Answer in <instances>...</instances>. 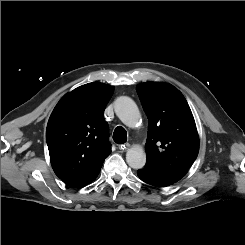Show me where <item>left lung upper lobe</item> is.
<instances>
[{"instance_id":"1","label":"left lung upper lobe","mask_w":245,"mask_h":245,"mask_svg":"<svg viewBox=\"0 0 245 245\" xmlns=\"http://www.w3.org/2000/svg\"><path fill=\"white\" fill-rule=\"evenodd\" d=\"M136 90L148 116L145 166L183 178L199 152L198 131L185 97L166 83H142Z\"/></svg>"}]
</instances>
